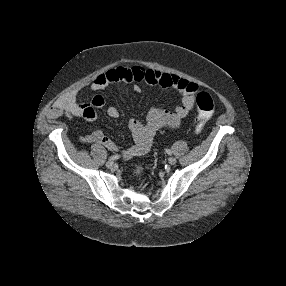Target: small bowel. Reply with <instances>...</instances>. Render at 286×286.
Instances as JSON below:
<instances>
[{
  "instance_id": "1",
  "label": "small bowel",
  "mask_w": 286,
  "mask_h": 286,
  "mask_svg": "<svg viewBox=\"0 0 286 286\" xmlns=\"http://www.w3.org/2000/svg\"><path fill=\"white\" fill-rule=\"evenodd\" d=\"M141 82L152 86L175 89L181 94V102L173 111L156 107L148 112L145 120H130L128 127L133 138V144L125 149L120 150L98 128H91L87 135L81 137L79 141L82 143L101 144L112 151H120L123 158L130 159L146 153L151 147L155 134L161 128H178L194 108L195 95L199 90L197 83L174 74L156 70H145L138 65L130 68L118 66L109 69L98 75L91 82L90 89L97 92L114 84L124 87L127 84L135 83L134 90L140 92L141 88L138 84ZM83 88L84 86L74 88L63 95L53 106L50 116L58 117L66 115L71 119L93 122L97 117L96 109L103 107L105 101L102 96L96 95L89 104H80L78 102V95ZM107 114L110 118H118L119 110L115 106H109Z\"/></svg>"
}]
</instances>
